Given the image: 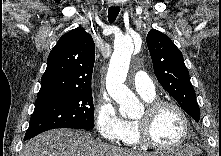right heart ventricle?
Here are the masks:
<instances>
[{
  "instance_id": "right-heart-ventricle-1",
  "label": "right heart ventricle",
  "mask_w": 221,
  "mask_h": 156,
  "mask_svg": "<svg viewBox=\"0 0 221 156\" xmlns=\"http://www.w3.org/2000/svg\"><path fill=\"white\" fill-rule=\"evenodd\" d=\"M144 98V97H143ZM148 103H151L155 100L154 98H144ZM126 130L124 137L122 138L123 142L128 145H137L139 144L136 137L135 121H125Z\"/></svg>"
}]
</instances>
